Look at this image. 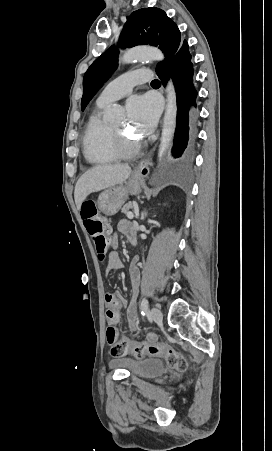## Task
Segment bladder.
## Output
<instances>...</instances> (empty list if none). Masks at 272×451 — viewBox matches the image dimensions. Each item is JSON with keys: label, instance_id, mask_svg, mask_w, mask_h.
<instances>
[{"label": "bladder", "instance_id": "bladder-1", "mask_svg": "<svg viewBox=\"0 0 272 451\" xmlns=\"http://www.w3.org/2000/svg\"><path fill=\"white\" fill-rule=\"evenodd\" d=\"M111 367H125L133 378L159 376L164 371V360L158 358L137 359L120 356L110 361Z\"/></svg>", "mask_w": 272, "mask_h": 451}]
</instances>
